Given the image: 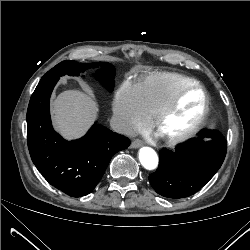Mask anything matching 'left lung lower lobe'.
Listing matches in <instances>:
<instances>
[{"label": "left lung lower lobe", "instance_id": "1", "mask_svg": "<svg viewBox=\"0 0 250 250\" xmlns=\"http://www.w3.org/2000/svg\"><path fill=\"white\" fill-rule=\"evenodd\" d=\"M207 138L212 140L206 141ZM227 142L216 131L203 130L198 137L172 152H159L158 169L149 175L153 189L167 198H184L199 191L219 170Z\"/></svg>", "mask_w": 250, "mask_h": 250}]
</instances>
